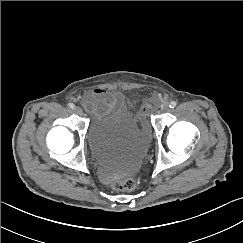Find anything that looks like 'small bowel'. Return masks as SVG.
<instances>
[{
	"label": "small bowel",
	"instance_id": "obj_1",
	"mask_svg": "<svg viewBox=\"0 0 243 243\" xmlns=\"http://www.w3.org/2000/svg\"><path fill=\"white\" fill-rule=\"evenodd\" d=\"M122 101L123 95L119 91L95 88L85 95L83 105L92 112L100 113L114 108Z\"/></svg>",
	"mask_w": 243,
	"mask_h": 243
}]
</instances>
